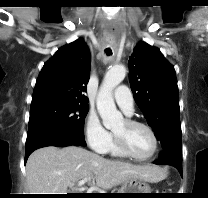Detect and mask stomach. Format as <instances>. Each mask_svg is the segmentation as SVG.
<instances>
[{"instance_id": "stomach-1", "label": "stomach", "mask_w": 208, "mask_h": 198, "mask_svg": "<svg viewBox=\"0 0 208 198\" xmlns=\"http://www.w3.org/2000/svg\"><path fill=\"white\" fill-rule=\"evenodd\" d=\"M122 197L126 198H145L146 194L131 193H151L150 186L142 179H130L125 182L119 192Z\"/></svg>"}]
</instances>
